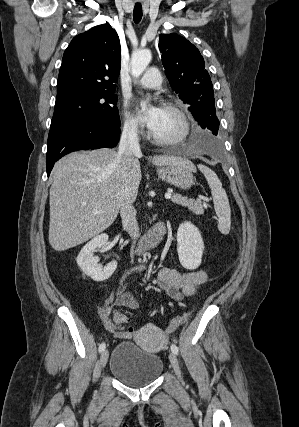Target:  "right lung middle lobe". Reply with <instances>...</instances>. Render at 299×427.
Returning <instances> with one entry per match:
<instances>
[{
    "label": "right lung middle lobe",
    "instance_id": "dd1d6c3e",
    "mask_svg": "<svg viewBox=\"0 0 299 427\" xmlns=\"http://www.w3.org/2000/svg\"><path fill=\"white\" fill-rule=\"evenodd\" d=\"M114 91L77 94L56 101L51 127L76 119L95 120L120 126Z\"/></svg>",
    "mask_w": 299,
    "mask_h": 427
}]
</instances>
